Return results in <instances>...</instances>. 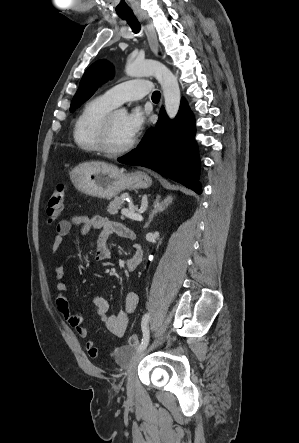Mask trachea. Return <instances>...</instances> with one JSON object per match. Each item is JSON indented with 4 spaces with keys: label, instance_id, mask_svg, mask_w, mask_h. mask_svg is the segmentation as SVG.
<instances>
[{
    "label": "trachea",
    "instance_id": "3493384b",
    "mask_svg": "<svg viewBox=\"0 0 299 443\" xmlns=\"http://www.w3.org/2000/svg\"><path fill=\"white\" fill-rule=\"evenodd\" d=\"M121 17H122V19L127 21L128 25L131 27V29H132V31L134 33H139L140 32L141 25H140L138 19L136 18V16L132 12L123 13V15ZM152 100L153 101H159L160 100V92L159 91H154L153 92Z\"/></svg>",
    "mask_w": 299,
    "mask_h": 443
}]
</instances>
